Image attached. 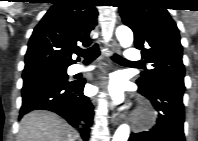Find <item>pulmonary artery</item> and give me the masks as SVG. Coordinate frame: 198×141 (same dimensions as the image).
<instances>
[{"instance_id":"obj_1","label":"pulmonary artery","mask_w":198,"mask_h":141,"mask_svg":"<svg viewBox=\"0 0 198 141\" xmlns=\"http://www.w3.org/2000/svg\"><path fill=\"white\" fill-rule=\"evenodd\" d=\"M126 55H127L128 61H130L133 64H137L141 60L140 53L133 48H130L127 51ZM90 69L91 67H84L82 65L76 64L70 68L69 73L77 74V73L89 71Z\"/></svg>"}]
</instances>
